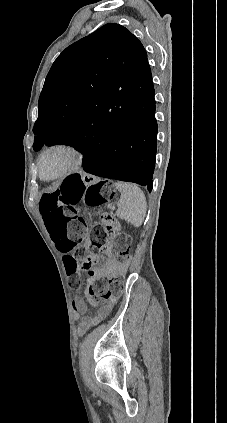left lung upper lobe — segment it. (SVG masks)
I'll return each mask as SVG.
<instances>
[{"label": "left lung upper lobe", "instance_id": "1", "mask_svg": "<svg viewBox=\"0 0 227 423\" xmlns=\"http://www.w3.org/2000/svg\"><path fill=\"white\" fill-rule=\"evenodd\" d=\"M152 88L141 42L119 24L102 26L54 61L39 97L33 149L95 132L111 111H143Z\"/></svg>", "mask_w": 227, "mask_h": 423}]
</instances>
